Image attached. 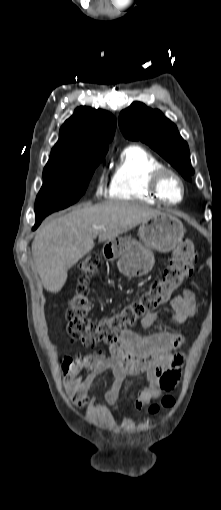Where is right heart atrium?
<instances>
[{
  "instance_id": "d8ad5b80",
  "label": "right heart atrium",
  "mask_w": 221,
  "mask_h": 510,
  "mask_svg": "<svg viewBox=\"0 0 221 510\" xmlns=\"http://www.w3.org/2000/svg\"><path fill=\"white\" fill-rule=\"evenodd\" d=\"M102 190H103V178H101V179L99 180V184H98L97 192H98V193H101V192H102Z\"/></svg>"
}]
</instances>
